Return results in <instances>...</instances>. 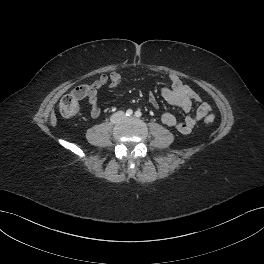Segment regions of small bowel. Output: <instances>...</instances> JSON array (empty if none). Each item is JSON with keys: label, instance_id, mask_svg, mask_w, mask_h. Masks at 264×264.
<instances>
[{"label": "small bowel", "instance_id": "obj_1", "mask_svg": "<svg viewBox=\"0 0 264 264\" xmlns=\"http://www.w3.org/2000/svg\"><path fill=\"white\" fill-rule=\"evenodd\" d=\"M169 86L161 89V95L164 100L173 106L180 108L183 112H190L193 104H196L195 111L187 115L183 121H178L177 118L168 112L161 116L162 122L182 134H189L195 125L211 112L210 105L202 99V97L191 89L188 85L183 83L176 75L168 76ZM122 76L118 72H112L110 75L102 74L97 80L88 86L87 98L90 104V114L93 118H97L101 114L99 106L98 91L109 84L114 88L121 84ZM150 104L157 108L158 102L155 95L151 92L149 94Z\"/></svg>", "mask_w": 264, "mask_h": 264}]
</instances>
